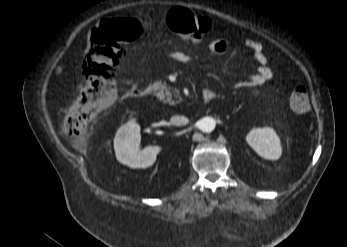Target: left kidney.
<instances>
[{
  "label": "left kidney",
  "mask_w": 347,
  "mask_h": 247,
  "mask_svg": "<svg viewBox=\"0 0 347 247\" xmlns=\"http://www.w3.org/2000/svg\"><path fill=\"white\" fill-rule=\"evenodd\" d=\"M246 141L255 152L268 160H278L282 154L281 141L270 127L256 128L246 136Z\"/></svg>",
  "instance_id": "1"
}]
</instances>
